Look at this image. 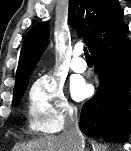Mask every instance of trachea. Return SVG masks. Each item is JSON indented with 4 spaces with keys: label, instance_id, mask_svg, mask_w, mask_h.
Listing matches in <instances>:
<instances>
[{
    "label": "trachea",
    "instance_id": "1",
    "mask_svg": "<svg viewBox=\"0 0 131 151\" xmlns=\"http://www.w3.org/2000/svg\"><path fill=\"white\" fill-rule=\"evenodd\" d=\"M84 55H85L87 60H91V56H90V54H89V52H88L86 47L84 48Z\"/></svg>",
    "mask_w": 131,
    "mask_h": 151
}]
</instances>
